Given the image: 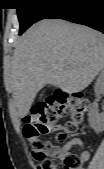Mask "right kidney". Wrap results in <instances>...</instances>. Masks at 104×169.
<instances>
[{"label":"right kidney","instance_id":"1","mask_svg":"<svg viewBox=\"0 0 104 169\" xmlns=\"http://www.w3.org/2000/svg\"><path fill=\"white\" fill-rule=\"evenodd\" d=\"M96 97H99L100 94L104 91V72H102L96 80L94 87ZM89 123L90 126L96 132H102L104 130V114L98 113L97 100L93 103L91 110L89 112Z\"/></svg>","mask_w":104,"mask_h":169}]
</instances>
